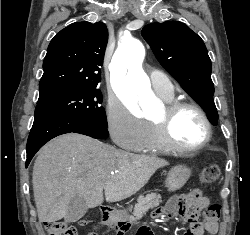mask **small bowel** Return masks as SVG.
<instances>
[{
	"label": "small bowel",
	"instance_id": "small-bowel-1",
	"mask_svg": "<svg viewBox=\"0 0 250 235\" xmlns=\"http://www.w3.org/2000/svg\"><path fill=\"white\" fill-rule=\"evenodd\" d=\"M209 203L210 199L208 196L194 190L182 198H171L165 206L154 211L153 218H171L179 214L187 223V226L182 229V235H216L218 225H206L197 220L198 213L205 209ZM88 235L98 234L90 233Z\"/></svg>",
	"mask_w": 250,
	"mask_h": 235
}]
</instances>
